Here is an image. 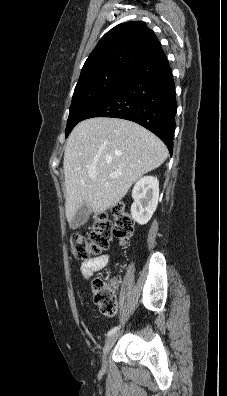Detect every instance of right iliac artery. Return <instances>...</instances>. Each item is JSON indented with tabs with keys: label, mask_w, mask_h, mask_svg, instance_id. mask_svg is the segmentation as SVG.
Instances as JSON below:
<instances>
[{
	"label": "right iliac artery",
	"mask_w": 227,
	"mask_h": 396,
	"mask_svg": "<svg viewBox=\"0 0 227 396\" xmlns=\"http://www.w3.org/2000/svg\"><path fill=\"white\" fill-rule=\"evenodd\" d=\"M119 328H120V326L112 328V329L108 332L107 336L113 335L114 333H116V332L119 330Z\"/></svg>",
	"instance_id": "right-iliac-artery-1"
}]
</instances>
